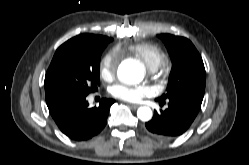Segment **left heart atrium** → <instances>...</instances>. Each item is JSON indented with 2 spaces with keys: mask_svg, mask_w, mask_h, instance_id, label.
I'll list each match as a JSON object with an SVG mask.
<instances>
[{
  "mask_svg": "<svg viewBox=\"0 0 249 165\" xmlns=\"http://www.w3.org/2000/svg\"><path fill=\"white\" fill-rule=\"evenodd\" d=\"M111 93L116 98L128 102H138L150 93V88L146 86H130L116 84L112 87Z\"/></svg>",
  "mask_w": 249,
  "mask_h": 165,
  "instance_id": "left-heart-atrium-1",
  "label": "left heart atrium"
}]
</instances>
